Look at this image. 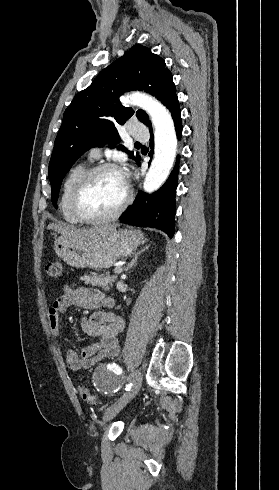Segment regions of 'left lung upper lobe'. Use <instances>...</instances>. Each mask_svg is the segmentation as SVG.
<instances>
[{
    "mask_svg": "<svg viewBox=\"0 0 279 490\" xmlns=\"http://www.w3.org/2000/svg\"><path fill=\"white\" fill-rule=\"evenodd\" d=\"M144 90L168 106L176 96L172 74L164 60L147 47L134 45L122 57L103 69L92 84L72 100L63 115V122L55 139L49 163L51 200L56 206L58 193L67 171L88 149L120 141L116 125L124 124L133 114L132 108L123 107L118 98L130 90ZM145 125L151 124L143 110L136 112ZM133 159V152L122 145Z\"/></svg>",
    "mask_w": 279,
    "mask_h": 490,
    "instance_id": "left-lung-upper-lobe-1",
    "label": "left lung upper lobe"
}]
</instances>
